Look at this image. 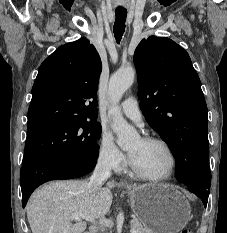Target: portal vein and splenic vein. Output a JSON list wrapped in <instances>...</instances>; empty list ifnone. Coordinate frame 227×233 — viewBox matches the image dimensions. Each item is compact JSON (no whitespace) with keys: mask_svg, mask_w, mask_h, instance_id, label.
I'll return each mask as SVG.
<instances>
[{"mask_svg":"<svg viewBox=\"0 0 227 233\" xmlns=\"http://www.w3.org/2000/svg\"><path fill=\"white\" fill-rule=\"evenodd\" d=\"M70 218H71V220L85 219L87 221L94 222V217L86 216V215L81 214V213H73V214H71Z\"/></svg>","mask_w":227,"mask_h":233,"instance_id":"1","label":"portal vein and splenic vein"}]
</instances>
